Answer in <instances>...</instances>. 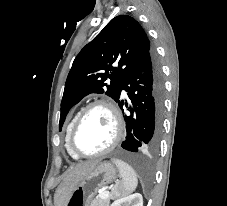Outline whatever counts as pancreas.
<instances>
[{
    "label": "pancreas",
    "instance_id": "obj_1",
    "mask_svg": "<svg viewBox=\"0 0 227 206\" xmlns=\"http://www.w3.org/2000/svg\"><path fill=\"white\" fill-rule=\"evenodd\" d=\"M110 198V195L106 198H101L100 195H97L91 202V206H109Z\"/></svg>",
    "mask_w": 227,
    "mask_h": 206
}]
</instances>
